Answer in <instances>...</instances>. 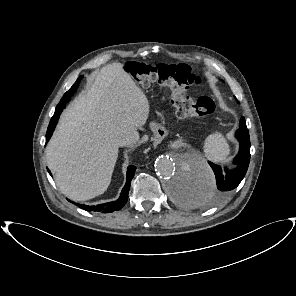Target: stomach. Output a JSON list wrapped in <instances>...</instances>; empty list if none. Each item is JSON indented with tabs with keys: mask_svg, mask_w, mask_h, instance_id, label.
I'll return each instance as SVG.
<instances>
[{
	"mask_svg": "<svg viewBox=\"0 0 296 296\" xmlns=\"http://www.w3.org/2000/svg\"><path fill=\"white\" fill-rule=\"evenodd\" d=\"M152 135H153V137L151 139V142L153 144V147L157 148V147L161 146L163 144L164 140L167 138L168 131L164 126L157 125L153 128Z\"/></svg>",
	"mask_w": 296,
	"mask_h": 296,
	"instance_id": "obj_1",
	"label": "stomach"
}]
</instances>
